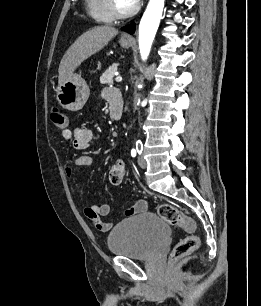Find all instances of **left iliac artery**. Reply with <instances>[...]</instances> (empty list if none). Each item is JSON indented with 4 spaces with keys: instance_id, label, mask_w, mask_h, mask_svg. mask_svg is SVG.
I'll return each mask as SVG.
<instances>
[{
    "instance_id": "left-iliac-artery-1",
    "label": "left iliac artery",
    "mask_w": 261,
    "mask_h": 306,
    "mask_svg": "<svg viewBox=\"0 0 261 306\" xmlns=\"http://www.w3.org/2000/svg\"><path fill=\"white\" fill-rule=\"evenodd\" d=\"M142 150H143V144H142V142L140 140H138L136 142V149H132L131 150V156L135 157L137 153L141 154Z\"/></svg>"
}]
</instances>
